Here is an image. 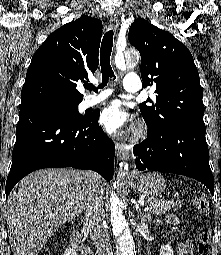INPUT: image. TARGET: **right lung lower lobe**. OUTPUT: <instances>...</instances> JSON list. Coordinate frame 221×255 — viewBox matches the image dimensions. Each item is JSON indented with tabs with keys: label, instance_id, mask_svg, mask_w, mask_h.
I'll list each match as a JSON object with an SVG mask.
<instances>
[{
	"label": "right lung lower lobe",
	"instance_id": "1",
	"mask_svg": "<svg viewBox=\"0 0 221 255\" xmlns=\"http://www.w3.org/2000/svg\"><path fill=\"white\" fill-rule=\"evenodd\" d=\"M98 118L93 113L72 121L53 111H20L6 197L20 179L42 168L91 169L110 181L115 146Z\"/></svg>",
	"mask_w": 221,
	"mask_h": 255
}]
</instances>
